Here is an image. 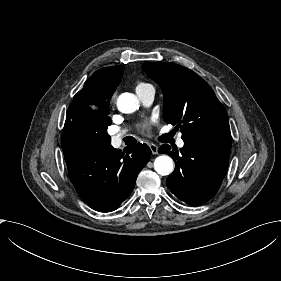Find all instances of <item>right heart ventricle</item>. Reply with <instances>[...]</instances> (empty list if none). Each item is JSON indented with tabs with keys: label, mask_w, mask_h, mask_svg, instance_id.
I'll return each instance as SVG.
<instances>
[{
	"label": "right heart ventricle",
	"mask_w": 281,
	"mask_h": 281,
	"mask_svg": "<svg viewBox=\"0 0 281 281\" xmlns=\"http://www.w3.org/2000/svg\"><path fill=\"white\" fill-rule=\"evenodd\" d=\"M149 85L143 84V83H137L136 84V92L138 93V91L142 90V89H149Z\"/></svg>",
	"instance_id": "obj_1"
}]
</instances>
